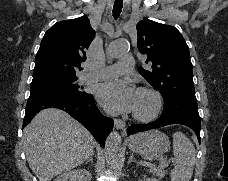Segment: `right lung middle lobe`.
Listing matches in <instances>:
<instances>
[{
    "instance_id": "dd1d6c3e",
    "label": "right lung middle lobe",
    "mask_w": 228,
    "mask_h": 181,
    "mask_svg": "<svg viewBox=\"0 0 228 181\" xmlns=\"http://www.w3.org/2000/svg\"><path fill=\"white\" fill-rule=\"evenodd\" d=\"M76 75L50 76L33 79L31 83L30 95L42 93H55L73 99H85L91 94L86 93L82 86L76 81Z\"/></svg>"
}]
</instances>
